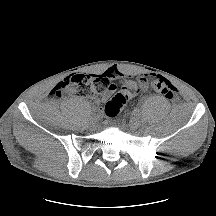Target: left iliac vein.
<instances>
[{"label":"left iliac vein","instance_id":"1","mask_svg":"<svg viewBox=\"0 0 216 216\" xmlns=\"http://www.w3.org/2000/svg\"><path fill=\"white\" fill-rule=\"evenodd\" d=\"M131 130H136L141 126V121L138 117H133L129 123Z\"/></svg>","mask_w":216,"mask_h":216}]
</instances>
